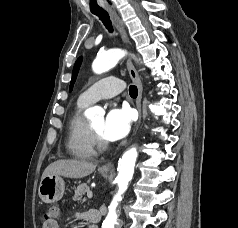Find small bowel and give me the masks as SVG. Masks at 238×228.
<instances>
[{
	"instance_id": "small-bowel-1",
	"label": "small bowel",
	"mask_w": 238,
	"mask_h": 228,
	"mask_svg": "<svg viewBox=\"0 0 238 228\" xmlns=\"http://www.w3.org/2000/svg\"><path fill=\"white\" fill-rule=\"evenodd\" d=\"M76 217H77V219H86L85 214H77ZM44 228H60V227H59L58 222H54V223H51V224L45 226Z\"/></svg>"
}]
</instances>
